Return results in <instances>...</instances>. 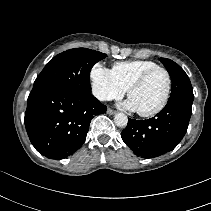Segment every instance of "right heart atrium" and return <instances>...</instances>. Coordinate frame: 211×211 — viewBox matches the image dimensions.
I'll list each match as a JSON object with an SVG mask.
<instances>
[{
  "label": "right heart atrium",
  "mask_w": 211,
  "mask_h": 211,
  "mask_svg": "<svg viewBox=\"0 0 211 211\" xmlns=\"http://www.w3.org/2000/svg\"><path fill=\"white\" fill-rule=\"evenodd\" d=\"M91 80L93 94L101 101L118 99L125 93L112 71L100 63L93 66Z\"/></svg>",
  "instance_id": "d8ad5b80"
}]
</instances>
